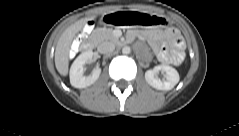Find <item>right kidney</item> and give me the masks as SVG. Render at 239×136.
<instances>
[{"instance_id": "ca27d5eb", "label": "right kidney", "mask_w": 239, "mask_h": 136, "mask_svg": "<svg viewBox=\"0 0 239 136\" xmlns=\"http://www.w3.org/2000/svg\"><path fill=\"white\" fill-rule=\"evenodd\" d=\"M93 58L92 51L81 53L70 68V84L75 88H86L92 85L100 76L101 69L96 68L89 76H84V65Z\"/></svg>"}]
</instances>
